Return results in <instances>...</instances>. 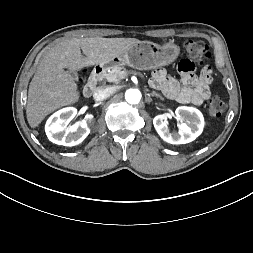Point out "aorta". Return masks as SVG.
<instances>
[{"label":"aorta","mask_w":253,"mask_h":253,"mask_svg":"<svg viewBox=\"0 0 253 253\" xmlns=\"http://www.w3.org/2000/svg\"><path fill=\"white\" fill-rule=\"evenodd\" d=\"M125 99L130 104H138L141 100V92L138 89H128L125 92Z\"/></svg>","instance_id":"aorta-1"}]
</instances>
